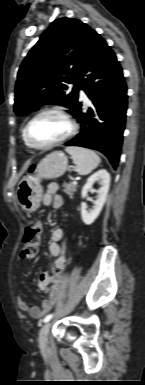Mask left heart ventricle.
Wrapping results in <instances>:
<instances>
[{
  "label": "left heart ventricle",
  "instance_id": "obj_1",
  "mask_svg": "<svg viewBox=\"0 0 145 385\" xmlns=\"http://www.w3.org/2000/svg\"><path fill=\"white\" fill-rule=\"evenodd\" d=\"M69 130L66 120L54 113L38 117L30 127V139L38 146L50 144L62 138Z\"/></svg>",
  "mask_w": 145,
  "mask_h": 385
}]
</instances>
